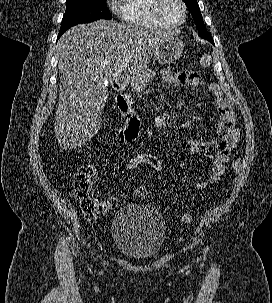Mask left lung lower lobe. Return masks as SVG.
Masks as SVG:
<instances>
[{
	"label": "left lung lower lobe",
	"mask_w": 272,
	"mask_h": 303,
	"mask_svg": "<svg viewBox=\"0 0 272 303\" xmlns=\"http://www.w3.org/2000/svg\"><path fill=\"white\" fill-rule=\"evenodd\" d=\"M208 41L214 44V41H213V39H210V40H208Z\"/></svg>",
	"instance_id": "left-lung-lower-lobe-1"
}]
</instances>
